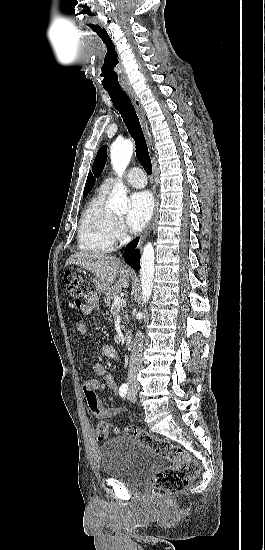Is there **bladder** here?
Wrapping results in <instances>:
<instances>
[{"instance_id": "31cf9c89", "label": "bladder", "mask_w": 265, "mask_h": 550, "mask_svg": "<svg viewBox=\"0 0 265 550\" xmlns=\"http://www.w3.org/2000/svg\"><path fill=\"white\" fill-rule=\"evenodd\" d=\"M102 471L109 477L135 487L144 482L159 466L151 448L130 435L116 436L99 448Z\"/></svg>"}]
</instances>
